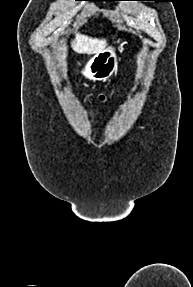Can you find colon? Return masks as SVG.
<instances>
[{
  "instance_id": "colon-1",
  "label": "colon",
  "mask_w": 193,
  "mask_h": 287,
  "mask_svg": "<svg viewBox=\"0 0 193 287\" xmlns=\"http://www.w3.org/2000/svg\"><path fill=\"white\" fill-rule=\"evenodd\" d=\"M101 99H102V100H105L106 98H105L104 96H101Z\"/></svg>"
}]
</instances>
